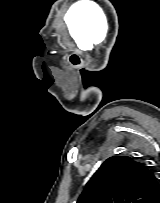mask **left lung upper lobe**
Masks as SVG:
<instances>
[{
	"label": "left lung upper lobe",
	"mask_w": 160,
	"mask_h": 203,
	"mask_svg": "<svg viewBox=\"0 0 160 203\" xmlns=\"http://www.w3.org/2000/svg\"><path fill=\"white\" fill-rule=\"evenodd\" d=\"M160 181L128 156L108 158L91 177L77 203H155Z\"/></svg>",
	"instance_id": "5c2ea615"
}]
</instances>
